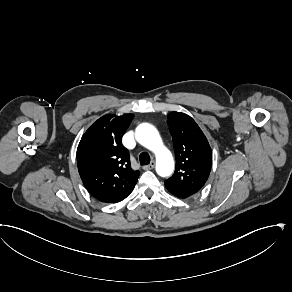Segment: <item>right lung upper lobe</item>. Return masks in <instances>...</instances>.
I'll list each match as a JSON object with an SVG mask.
<instances>
[{"mask_svg": "<svg viewBox=\"0 0 292 292\" xmlns=\"http://www.w3.org/2000/svg\"><path fill=\"white\" fill-rule=\"evenodd\" d=\"M134 115L107 114L84 133L77 148V167L90 194L104 203L125 199L134 189L139 171L132 170L121 139Z\"/></svg>", "mask_w": 292, "mask_h": 292, "instance_id": "cb5924a9", "label": "right lung upper lobe"}]
</instances>
